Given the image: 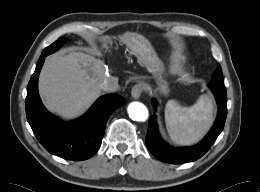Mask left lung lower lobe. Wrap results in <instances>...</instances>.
<instances>
[{"label": "left lung lower lobe", "instance_id": "1", "mask_svg": "<svg viewBox=\"0 0 260 192\" xmlns=\"http://www.w3.org/2000/svg\"><path fill=\"white\" fill-rule=\"evenodd\" d=\"M208 86L216 98L218 104V114L211 130L208 132L205 138L195 146L174 148L167 145L163 142L158 134L155 114L154 116L150 117L145 142L149 151L157 159L171 164L192 162L202 157L216 141L218 135L223 130L226 120L227 93L224 85L221 83H209ZM152 104L156 109V100H153Z\"/></svg>", "mask_w": 260, "mask_h": 192}]
</instances>
